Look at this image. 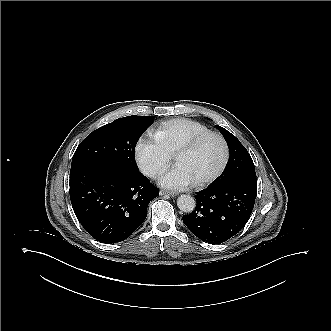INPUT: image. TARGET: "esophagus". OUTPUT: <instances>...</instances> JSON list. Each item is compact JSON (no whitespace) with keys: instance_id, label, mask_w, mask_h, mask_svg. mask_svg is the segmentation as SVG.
Listing matches in <instances>:
<instances>
[{"instance_id":"obj_1","label":"esophagus","mask_w":331,"mask_h":331,"mask_svg":"<svg viewBox=\"0 0 331 331\" xmlns=\"http://www.w3.org/2000/svg\"><path fill=\"white\" fill-rule=\"evenodd\" d=\"M160 194L161 195H170V196H172V197H174V196H177L179 193L178 192H174V191H166V190H164V191H161L160 192Z\"/></svg>"}]
</instances>
